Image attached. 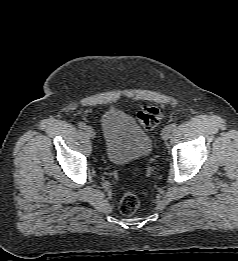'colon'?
I'll return each instance as SVG.
<instances>
[{
	"label": "colon",
	"mask_w": 238,
	"mask_h": 261,
	"mask_svg": "<svg viewBox=\"0 0 238 261\" xmlns=\"http://www.w3.org/2000/svg\"><path fill=\"white\" fill-rule=\"evenodd\" d=\"M161 112L156 106H144L138 113L140 124L146 129L155 128L160 121ZM141 203V194L135 190L127 191L121 198L119 209L123 215L130 216L134 214Z\"/></svg>",
	"instance_id": "colon-1"
}]
</instances>
